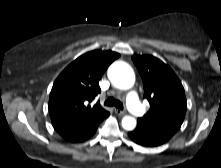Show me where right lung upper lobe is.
<instances>
[{
	"label": "right lung upper lobe",
	"instance_id": "cb5924a9",
	"mask_svg": "<svg viewBox=\"0 0 221 168\" xmlns=\"http://www.w3.org/2000/svg\"><path fill=\"white\" fill-rule=\"evenodd\" d=\"M119 56L112 51H91L74 60L58 76L49 97V114L58 133L95 124L107 116L109 112L99 102L92 106L89 103L101 91V76Z\"/></svg>",
	"mask_w": 221,
	"mask_h": 168
}]
</instances>
